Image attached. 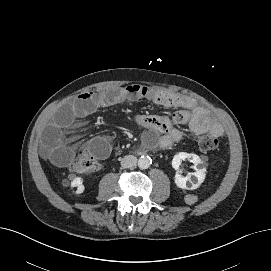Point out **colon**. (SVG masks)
Returning <instances> with one entry per match:
<instances>
[{
	"mask_svg": "<svg viewBox=\"0 0 271 271\" xmlns=\"http://www.w3.org/2000/svg\"><path fill=\"white\" fill-rule=\"evenodd\" d=\"M218 144V139L212 135H205L198 142L199 148L204 152L215 150ZM99 168L98 159L86 150L80 151L69 166L70 171L73 173H91Z\"/></svg>",
	"mask_w": 271,
	"mask_h": 271,
	"instance_id": "5ec220e1",
	"label": "colon"
}]
</instances>
